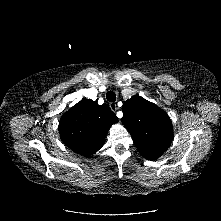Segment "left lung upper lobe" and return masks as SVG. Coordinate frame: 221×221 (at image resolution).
Masks as SVG:
<instances>
[{
	"mask_svg": "<svg viewBox=\"0 0 221 221\" xmlns=\"http://www.w3.org/2000/svg\"><path fill=\"white\" fill-rule=\"evenodd\" d=\"M122 122L138 151L148 160L160 157L172 142L173 129L168 114L138 95L123 103Z\"/></svg>",
	"mask_w": 221,
	"mask_h": 221,
	"instance_id": "5c2ea615",
	"label": "left lung upper lobe"
}]
</instances>
